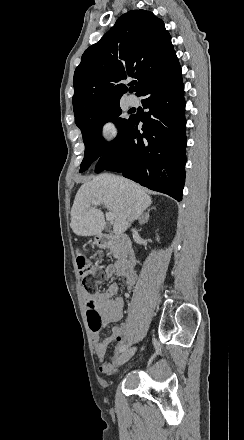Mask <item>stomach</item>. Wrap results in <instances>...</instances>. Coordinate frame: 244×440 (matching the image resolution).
Listing matches in <instances>:
<instances>
[{
	"label": "stomach",
	"mask_w": 244,
	"mask_h": 440,
	"mask_svg": "<svg viewBox=\"0 0 244 440\" xmlns=\"http://www.w3.org/2000/svg\"><path fill=\"white\" fill-rule=\"evenodd\" d=\"M99 240H100L99 236H95L94 244H99Z\"/></svg>",
	"instance_id": "stomach-1"
}]
</instances>
